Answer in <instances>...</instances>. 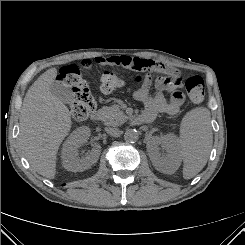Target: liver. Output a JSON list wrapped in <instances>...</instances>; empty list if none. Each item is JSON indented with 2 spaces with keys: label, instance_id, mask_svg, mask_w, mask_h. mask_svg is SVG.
<instances>
[{
  "label": "liver",
  "instance_id": "6515ba94",
  "mask_svg": "<svg viewBox=\"0 0 245 245\" xmlns=\"http://www.w3.org/2000/svg\"><path fill=\"white\" fill-rule=\"evenodd\" d=\"M58 72L50 68L29 88L21 109L19 144L31 167L53 179L56 155L72 121L67 106L51 92Z\"/></svg>",
  "mask_w": 245,
  "mask_h": 245
}]
</instances>
